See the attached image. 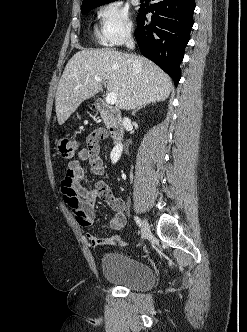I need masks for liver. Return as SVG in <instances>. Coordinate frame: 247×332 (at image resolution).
<instances>
[{
  "label": "liver",
  "instance_id": "liver-1",
  "mask_svg": "<svg viewBox=\"0 0 247 332\" xmlns=\"http://www.w3.org/2000/svg\"><path fill=\"white\" fill-rule=\"evenodd\" d=\"M100 78L107 81V90L117 96L118 109L131 110L168 98L171 78L150 60L111 49H83L68 61L59 81L55 107L62 125L78 106L94 98L102 90Z\"/></svg>",
  "mask_w": 247,
  "mask_h": 332
}]
</instances>
